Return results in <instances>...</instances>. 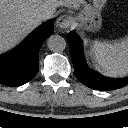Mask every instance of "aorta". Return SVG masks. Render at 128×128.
I'll return each instance as SVG.
<instances>
[{
  "instance_id": "1",
  "label": "aorta",
  "mask_w": 128,
  "mask_h": 128,
  "mask_svg": "<svg viewBox=\"0 0 128 128\" xmlns=\"http://www.w3.org/2000/svg\"><path fill=\"white\" fill-rule=\"evenodd\" d=\"M47 46L53 52H61L66 47V41L60 35H51L47 39Z\"/></svg>"
}]
</instances>
